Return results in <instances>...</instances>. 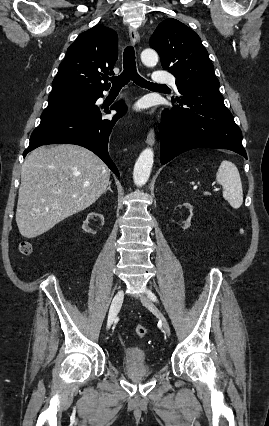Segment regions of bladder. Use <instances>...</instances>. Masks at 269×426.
Listing matches in <instances>:
<instances>
[{
    "mask_svg": "<svg viewBox=\"0 0 269 426\" xmlns=\"http://www.w3.org/2000/svg\"><path fill=\"white\" fill-rule=\"evenodd\" d=\"M121 361L126 368H135L146 365L148 356L141 348L130 347L122 353Z\"/></svg>",
    "mask_w": 269,
    "mask_h": 426,
    "instance_id": "31cf9c89",
    "label": "bladder"
}]
</instances>
